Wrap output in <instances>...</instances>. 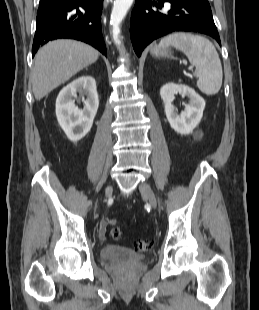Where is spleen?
Masks as SVG:
<instances>
[{
  "instance_id": "3e777b00",
  "label": "spleen",
  "mask_w": 259,
  "mask_h": 310,
  "mask_svg": "<svg viewBox=\"0 0 259 310\" xmlns=\"http://www.w3.org/2000/svg\"><path fill=\"white\" fill-rule=\"evenodd\" d=\"M174 46L184 52L195 66L197 86L206 95L217 94L222 85V65L215 46L205 37L191 33H172L161 39L159 46Z\"/></svg>"
}]
</instances>
